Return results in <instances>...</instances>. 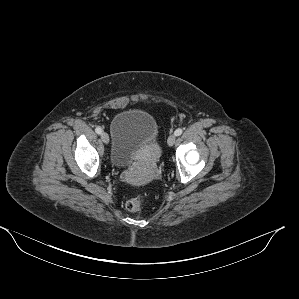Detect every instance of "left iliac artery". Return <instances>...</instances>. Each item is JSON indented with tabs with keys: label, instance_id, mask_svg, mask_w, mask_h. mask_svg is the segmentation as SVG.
<instances>
[{
	"label": "left iliac artery",
	"instance_id": "44dca946",
	"mask_svg": "<svg viewBox=\"0 0 299 299\" xmlns=\"http://www.w3.org/2000/svg\"><path fill=\"white\" fill-rule=\"evenodd\" d=\"M182 129H180V128H178V129H176V131L174 132V134L176 135V136H179V135H181L182 134Z\"/></svg>",
	"mask_w": 299,
	"mask_h": 299
}]
</instances>
